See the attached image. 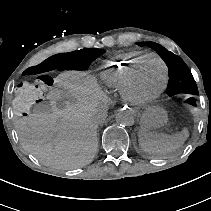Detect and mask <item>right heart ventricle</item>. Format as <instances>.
Instances as JSON below:
<instances>
[{
	"mask_svg": "<svg viewBox=\"0 0 211 211\" xmlns=\"http://www.w3.org/2000/svg\"><path fill=\"white\" fill-rule=\"evenodd\" d=\"M144 55L147 54H141L138 50H128L124 55L110 59L104 67L105 75H103L107 85L126 97L131 70Z\"/></svg>",
	"mask_w": 211,
	"mask_h": 211,
	"instance_id": "obj_1",
	"label": "right heart ventricle"
}]
</instances>
